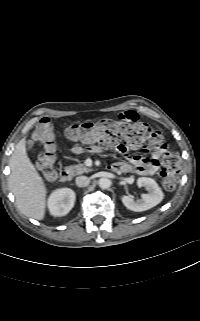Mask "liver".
Here are the masks:
<instances>
[{
    "label": "liver",
    "instance_id": "liver-1",
    "mask_svg": "<svg viewBox=\"0 0 200 321\" xmlns=\"http://www.w3.org/2000/svg\"><path fill=\"white\" fill-rule=\"evenodd\" d=\"M8 184L18 210L27 217L43 220L47 189L26 153V139H21L10 157Z\"/></svg>",
    "mask_w": 200,
    "mask_h": 321
}]
</instances>
